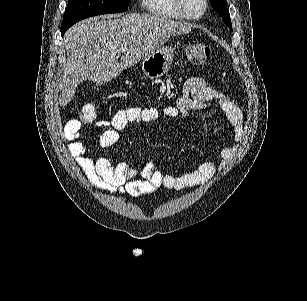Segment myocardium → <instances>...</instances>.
<instances>
[{
    "label": "myocardium",
    "mask_w": 307,
    "mask_h": 301,
    "mask_svg": "<svg viewBox=\"0 0 307 301\" xmlns=\"http://www.w3.org/2000/svg\"><path fill=\"white\" fill-rule=\"evenodd\" d=\"M199 2L198 13H190L189 10H184L188 8L187 0H175L173 3V6L176 7L175 16L183 17L184 22H200V17L206 10V0H199Z\"/></svg>",
    "instance_id": "f54148a6"
}]
</instances>
